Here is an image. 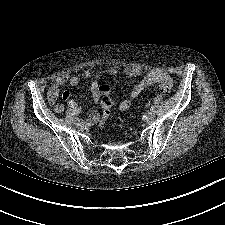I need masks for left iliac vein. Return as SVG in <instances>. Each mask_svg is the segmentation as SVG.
Returning <instances> with one entry per match:
<instances>
[{
    "label": "left iliac vein",
    "mask_w": 225,
    "mask_h": 225,
    "mask_svg": "<svg viewBox=\"0 0 225 225\" xmlns=\"http://www.w3.org/2000/svg\"><path fill=\"white\" fill-rule=\"evenodd\" d=\"M146 117L148 120H152L155 117V112L154 110H149L146 114Z\"/></svg>",
    "instance_id": "obj_1"
}]
</instances>
